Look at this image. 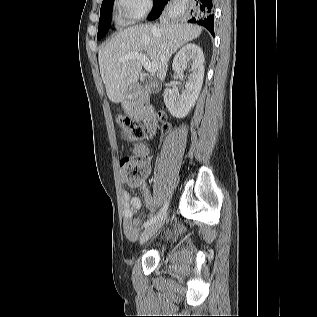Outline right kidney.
<instances>
[{
	"instance_id": "obj_1",
	"label": "right kidney",
	"mask_w": 317,
	"mask_h": 317,
	"mask_svg": "<svg viewBox=\"0 0 317 317\" xmlns=\"http://www.w3.org/2000/svg\"><path fill=\"white\" fill-rule=\"evenodd\" d=\"M190 63L191 73L185 85V91L180 95L176 89L164 91V103L170 114L176 118L188 115L199 97L204 78V55L202 49L196 44H187L176 53L172 68L174 78L183 74L184 67Z\"/></svg>"
}]
</instances>
